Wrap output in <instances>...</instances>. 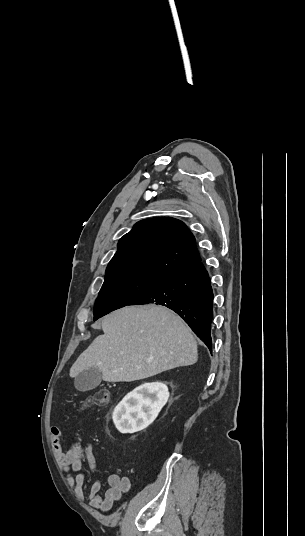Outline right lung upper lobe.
<instances>
[{
  "label": "right lung upper lobe",
  "mask_w": 305,
  "mask_h": 536,
  "mask_svg": "<svg viewBox=\"0 0 305 536\" xmlns=\"http://www.w3.org/2000/svg\"><path fill=\"white\" fill-rule=\"evenodd\" d=\"M199 261L195 238L182 221L170 217L145 219L119 240L105 278L127 274L167 276Z\"/></svg>",
  "instance_id": "right-lung-upper-lobe-1"
}]
</instances>
